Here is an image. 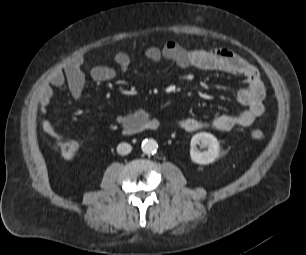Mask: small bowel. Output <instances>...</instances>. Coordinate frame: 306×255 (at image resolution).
<instances>
[{"label":"small bowel","instance_id":"1","mask_svg":"<svg viewBox=\"0 0 306 255\" xmlns=\"http://www.w3.org/2000/svg\"><path fill=\"white\" fill-rule=\"evenodd\" d=\"M145 57L154 63L166 59L175 63L181 69L195 68L205 71H218L244 80V87L236 95L237 102L243 107L241 111L233 114H220L209 120L193 117L176 119L175 124L186 132L204 129L229 131L235 127H249L264 112L265 90L258 70L229 49L221 47L186 49L181 44L170 41L163 47H147ZM114 62L116 66H92L90 69L91 78L96 82L110 81L120 74L127 73L131 66L130 56L123 51L114 55ZM83 63L82 56L74 57L62 69L51 74L48 82L38 94L41 112H47L54 87L67 85L71 96L75 100L82 97L86 80L82 70ZM147 117V112L139 109L127 116L124 122L129 125L144 121ZM42 130L55 139L62 138V134L49 120L42 122Z\"/></svg>","mask_w":306,"mask_h":255}]
</instances>
